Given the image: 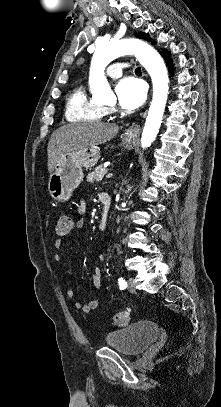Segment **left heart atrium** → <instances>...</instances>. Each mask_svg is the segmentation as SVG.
<instances>
[{"label": "left heart atrium", "instance_id": "obj_1", "mask_svg": "<svg viewBox=\"0 0 221 407\" xmlns=\"http://www.w3.org/2000/svg\"><path fill=\"white\" fill-rule=\"evenodd\" d=\"M115 93L122 108L134 110L144 102L146 87L141 79L128 76L118 81Z\"/></svg>", "mask_w": 221, "mask_h": 407}]
</instances>
